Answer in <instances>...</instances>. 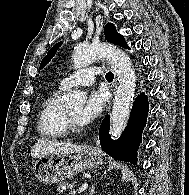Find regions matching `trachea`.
<instances>
[{
    "instance_id": "trachea-1",
    "label": "trachea",
    "mask_w": 189,
    "mask_h": 195,
    "mask_svg": "<svg viewBox=\"0 0 189 195\" xmlns=\"http://www.w3.org/2000/svg\"><path fill=\"white\" fill-rule=\"evenodd\" d=\"M105 78H106L107 80L113 79V78H114V74H113L111 71H109V72L105 75Z\"/></svg>"
}]
</instances>
